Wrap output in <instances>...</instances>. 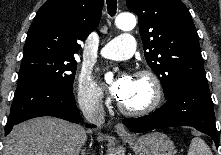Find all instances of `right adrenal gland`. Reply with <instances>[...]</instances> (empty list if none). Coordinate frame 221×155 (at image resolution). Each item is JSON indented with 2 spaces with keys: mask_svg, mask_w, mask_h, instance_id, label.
Segmentation results:
<instances>
[{
  "mask_svg": "<svg viewBox=\"0 0 221 155\" xmlns=\"http://www.w3.org/2000/svg\"><path fill=\"white\" fill-rule=\"evenodd\" d=\"M81 155H86V153H85V150H84V149H82V150H81Z\"/></svg>",
  "mask_w": 221,
  "mask_h": 155,
  "instance_id": "2a0ac1e0",
  "label": "right adrenal gland"
}]
</instances>
